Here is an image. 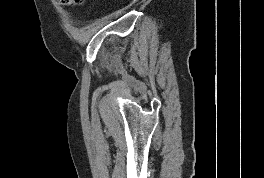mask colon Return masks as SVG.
I'll return each mask as SVG.
<instances>
[{"label": "colon", "mask_w": 264, "mask_h": 178, "mask_svg": "<svg viewBox=\"0 0 264 178\" xmlns=\"http://www.w3.org/2000/svg\"><path fill=\"white\" fill-rule=\"evenodd\" d=\"M59 4L64 6H75L81 5L85 0H57Z\"/></svg>", "instance_id": "colon-1"}]
</instances>
